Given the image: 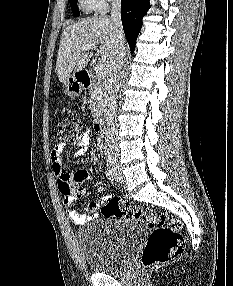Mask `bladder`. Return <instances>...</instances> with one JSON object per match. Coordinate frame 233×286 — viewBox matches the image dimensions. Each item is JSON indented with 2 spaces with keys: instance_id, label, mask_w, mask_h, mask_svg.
Instances as JSON below:
<instances>
[{
  "instance_id": "obj_1",
  "label": "bladder",
  "mask_w": 233,
  "mask_h": 286,
  "mask_svg": "<svg viewBox=\"0 0 233 286\" xmlns=\"http://www.w3.org/2000/svg\"><path fill=\"white\" fill-rule=\"evenodd\" d=\"M145 230L146 225L133 218L87 224L77 235L86 266L99 273L121 270L128 264Z\"/></svg>"
}]
</instances>
